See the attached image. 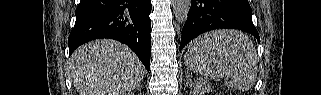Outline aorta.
Segmentation results:
<instances>
[{
	"label": "aorta",
	"instance_id": "1",
	"mask_svg": "<svg viewBox=\"0 0 321 95\" xmlns=\"http://www.w3.org/2000/svg\"><path fill=\"white\" fill-rule=\"evenodd\" d=\"M172 6L178 24H184L188 18L191 0H172Z\"/></svg>",
	"mask_w": 321,
	"mask_h": 95
}]
</instances>
